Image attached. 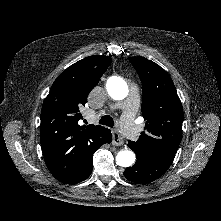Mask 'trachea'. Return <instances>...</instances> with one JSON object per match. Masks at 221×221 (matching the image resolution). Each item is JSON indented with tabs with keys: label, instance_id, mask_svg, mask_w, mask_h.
I'll return each instance as SVG.
<instances>
[{
	"label": "trachea",
	"instance_id": "trachea-1",
	"mask_svg": "<svg viewBox=\"0 0 221 221\" xmlns=\"http://www.w3.org/2000/svg\"><path fill=\"white\" fill-rule=\"evenodd\" d=\"M99 123L102 125H106L108 127H114V120L111 116L109 115H105L103 117H101V119L99 120Z\"/></svg>",
	"mask_w": 221,
	"mask_h": 221
}]
</instances>
